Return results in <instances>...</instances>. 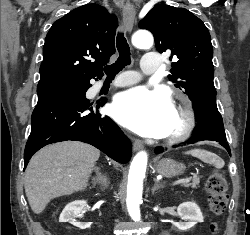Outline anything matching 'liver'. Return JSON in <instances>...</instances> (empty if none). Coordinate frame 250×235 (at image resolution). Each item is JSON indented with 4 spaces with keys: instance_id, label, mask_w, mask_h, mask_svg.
<instances>
[{
    "instance_id": "6515ba94",
    "label": "liver",
    "mask_w": 250,
    "mask_h": 235,
    "mask_svg": "<svg viewBox=\"0 0 250 235\" xmlns=\"http://www.w3.org/2000/svg\"><path fill=\"white\" fill-rule=\"evenodd\" d=\"M100 151L76 141L49 145L37 152L25 171V193L40 214L54 198L85 190Z\"/></svg>"
}]
</instances>
